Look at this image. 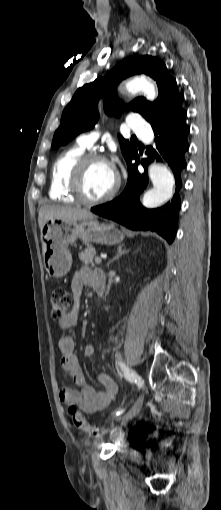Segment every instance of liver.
Listing matches in <instances>:
<instances>
[{
    "label": "liver",
    "instance_id": "1",
    "mask_svg": "<svg viewBox=\"0 0 221 510\" xmlns=\"http://www.w3.org/2000/svg\"><path fill=\"white\" fill-rule=\"evenodd\" d=\"M53 218L68 222H76L95 219L96 216L86 209L60 205H45L39 210L38 224L40 230L49 219Z\"/></svg>",
    "mask_w": 221,
    "mask_h": 510
}]
</instances>
